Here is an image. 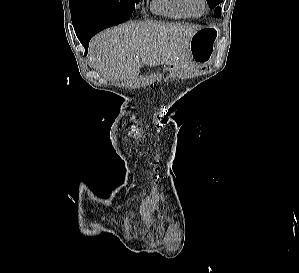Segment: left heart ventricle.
Listing matches in <instances>:
<instances>
[{
    "label": "left heart ventricle",
    "instance_id": "1",
    "mask_svg": "<svg viewBox=\"0 0 299 273\" xmlns=\"http://www.w3.org/2000/svg\"><path fill=\"white\" fill-rule=\"evenodd\" d=\"M189 5L193 13L199 14L202 11L201 0H189Z\"/></svg>",
    "mask_w": 299,
    "mask_h": 273
}]
</instances>
